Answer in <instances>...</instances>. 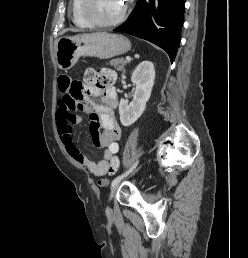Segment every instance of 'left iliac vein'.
Here are the masks:
<instances>
[{"label":"left iliac vein","mask_w":248,"mask_h":258,"mask_svg":"<svg viewBox=\"0 0 248 258\" xmlns=\"http://www.w3.org/2000/svg\"><path fill=\"white\" fill-rule=\"evenodd\" d=\"M119 182L117 184H115L114 186H112L111 192H110V196H109V201L112 200V198L114 197V195L116 194V191L118 190L119 187Z\"/></svg>","instance_id":"4c4485c4"}]
</instances>
